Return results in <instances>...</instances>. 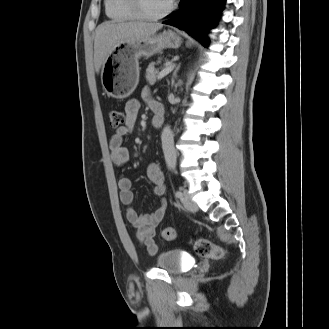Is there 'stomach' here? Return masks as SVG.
Segmentation results:
<instances>
[{
    "mask_svg": "<svg viewBox=\"0 0 329 329\" xmlns=\"http://www.w3.org/2000/svg\"><path fill=\"white\" fill-rule=\"evenodd\" d=\"M181 43V38L171 30L118 43L102 66L103 89L110 97L127 98L139 82V58L150 57L165 48L176 49Z\"/></svg>",
    "mask_w": 329,
    "mask_h": 329,
    "instance_id": "1",
    "label": "stomach"
}]
</instances>
